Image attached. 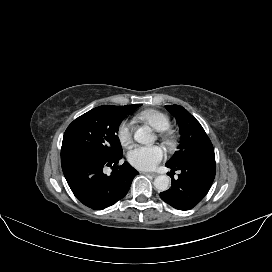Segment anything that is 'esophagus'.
Listing matches in <instances>:
<instances>
[{"instance_id":"esophagus-1","label":"esophagus","mask_w":272,"mask_h":272,"mask_svg":"<svg viewBox=\"0 0 272 272\" xmlns=\"http://www.w3.org/2000/svg\"><path fill=\"white\" fill-rule=\"evenodd\" d=\"M144 175H148V176H151V177H156L157 174L156 173H147V172H143Z\"/></svg>"}]
</instances>
